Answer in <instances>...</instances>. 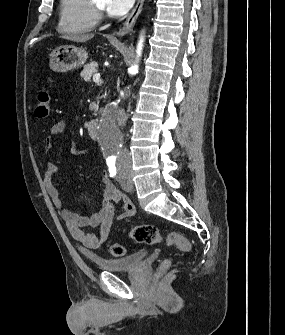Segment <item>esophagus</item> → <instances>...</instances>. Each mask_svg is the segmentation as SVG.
<instances>
[{
    "label": "esophagus",
    "mask_w": 285,
    "mask_h": 335,
    "mask_svg": "<svg viewBox=\"0 0 285 335\" xmlns=\"http://www.w3.org/2000/svg\"><path fill=\"white\" fill-rule=\"evenodd\" d=\"M144 0H137V4L135 8L132 10L128 18H126V21L122 28L117 32L118 37H122L123 35H126L127 33L132 32L133 27L136 23V20L139 16V13L141 12L142 6H143Z\"/></svg>",
    "instance_id": "34e87169"
}]
</instances>
